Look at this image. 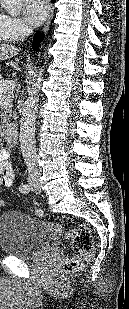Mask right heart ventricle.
<instances>
[{
  "label": "right heart ventricle",
  "instance_id": "1",
  "mask_svg": "<svg viewBox=\"0 0 129 309\" xmlns=\"http://www.w3.org/2000/svg\"><path fill=\"white\" fill-rule=\"evenodd\" d=\"M12 41L7 35L4 28V15L0 13V42Z\"/></svg>",
  "mask_w": 129,
  "mask_h": 309
}]
</instances>
